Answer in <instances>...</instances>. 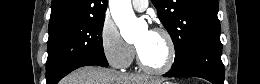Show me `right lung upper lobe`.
<instances>
[{
    "label": "right lung upper lobe",
    "instance_id": "right-lung-upper-lobe-1",
    "mask_svg": "<svg viewBox=\"0 0 260 84\" xmlns=\"http://www.w3.org/2000/svg\"><path fill=\"white\" fill-rule=\"evenodd\" d=\"M108 0H52L49 30L105 15Z\"/></svg>",
    "mask_w": 260,
    "mask_h": 84
}]
</instances>
